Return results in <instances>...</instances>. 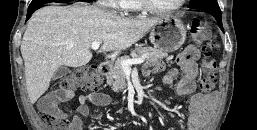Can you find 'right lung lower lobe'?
Instances as JSON below:
<instances>
[{"instance_id": "98d812e1", "label": "right lung lower lobe", "mask_w": 257, "mask_h": 130, "mask_svg": "<svg viewBox=\"0 0 257 130\" xmlns=\"http://www.w3.org/2000/svg\"><path fill=\"white\" fill-rule=\"evenodd\" d=\"M34 12V11H33ZM32 12H28V14H27V19L29 18V15L31 14Z\"/></svg>"}]
</instances>
